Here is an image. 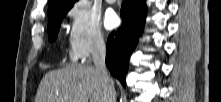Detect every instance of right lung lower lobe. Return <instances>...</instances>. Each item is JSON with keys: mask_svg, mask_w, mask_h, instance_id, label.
<instances>
[{"mask_svg": "<svg viewBox=\"0 0 221 102\" xmlns=\"http://www.w3.org/2000/svg\"><path fill=\"white\" fill-rule=\"evenodd\" d=\"M122 26L112 32L106 45V64L123 86L130 55L144 30L147 15L145 0H125L120 11Z\"/></svg>", "mask_w": 221, "mask_h": 102, "instance_id": "right-lung-lower-lobe-1", "label": "right lung lower lobe"}]
</instances>
